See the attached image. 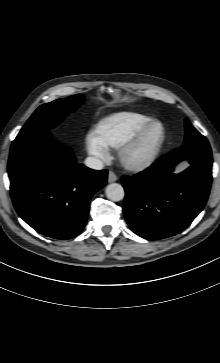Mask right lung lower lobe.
<instances>
[{"label": "right lung lower lobe", "mask_w": 220, "mask_h": 363, "mask_svg": "<svg viewBox=\"0 0 220 363\" xmlns=\"http://www.w3.org/2000/svg\"><path fill=\"white\" fill-rule=\"evenodd\" d=\"M8 175L19 216L39 233L63 240L82 231L90 199L107 180V170L76 163L71 150L49 132L11 149Z\"/></svg>", "instance_id": "1"}]
</instances>
